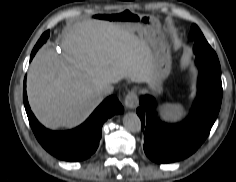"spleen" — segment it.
<instances>
[{
    "label": "spleen",
    "instance_id": "1",
    "mask_svg": "<svg viewBox=\"0 0 236 182\" xmlns=\"http://www.w3.org/2000/svg\"><path fill=\"white\" fill-rule=\"evenodd\" d=\"M160 109L163 119L167 121H178L185 115L181 104H165Z\"/></svg>",
    "mask_w": 236,
    "mask_h": 182
}]
</instances>
